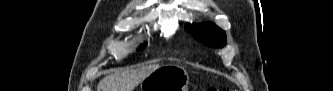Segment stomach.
Segmentation results:
<instances>
[{
	"instance_id": "0dacf381",
	"label": "stomach",
	"mask_w": 333,
	"mask_h": 91,
	"mask_svg": "<svg viewBox=\"0 0 333 91\" xmlns=\"http://www.w3.org/2000/svg\"><path fill=\"white\" fill-rule=\"evenodd\" d=\"M189 76L178 65L161 66L142 80L140 91H187Z\"/></svg>"
}]
</instances>
